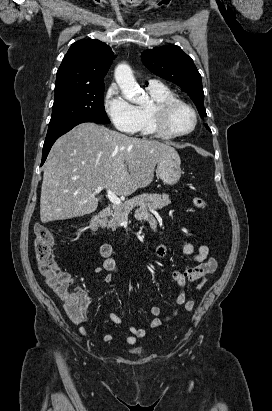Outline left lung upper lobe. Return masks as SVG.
Masks as SVG:
<instances>
[{"label":"left lung upper lobe","instance_id":"5c2ea615","mask_svg":"<svg viewBox=\"0 0 272 411\" xmlns=\"http://www.w3.org/2000/svg\"><path fill=\"white\" fill-rule=\"evenodd\" d=\"M143 64L154 74L172 81L188 93L202 117H206L201 75L191 57L179 46L166 45L141 54ZM210 131V128L206 125Z\"/></svg>","mask_w":272,"mask_h":411}]
</instances>
